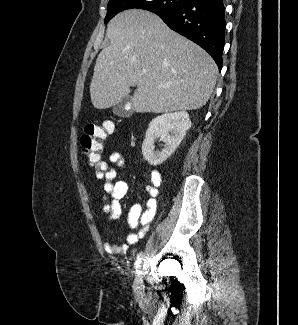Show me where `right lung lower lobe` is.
<instances>
[{"label": "right lung lower lobe", "instance_id": "right-lung-lower-lobe-1", "mask_svg": "<svg viewBox=\"0 0 298 325\" xmlns=\"http://www.w3.org/2000/svg\"><path fill=\"white\" fill-rule=\"evenodd\" d=\"M156 14L172 30L206 50L221 70L226 27L222 0H190L178 9Z\"/></svg>", "mask_w": 298, "mask_h": 325}]
</instances>
